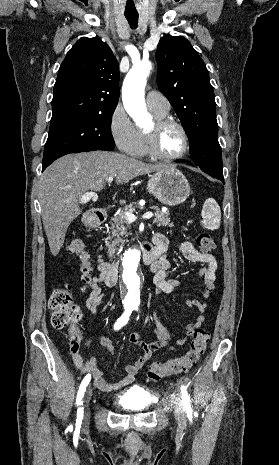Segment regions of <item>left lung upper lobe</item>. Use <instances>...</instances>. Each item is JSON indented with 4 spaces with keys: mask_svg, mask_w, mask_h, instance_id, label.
Returning <instances> with one entry per match:
<instances>
[{
    "mask_svg": "<svg viewBox=\"0 0 279 465\" xmlns=\"http://www.w3.org/2000/svg\"><path fill=\"white\" fill-rule=\"evenodd\" d=\"M156 58L157 84L184 126L193 162L207 174L223 178L216 103L205 63L183 36L162 37Z\"/></svg>",
    "mask_w": 279,
    "mask_h": 465,
    "instance_id": "5c2ea615",
    "label": "left lung upper lobe"
}]
</instances>
